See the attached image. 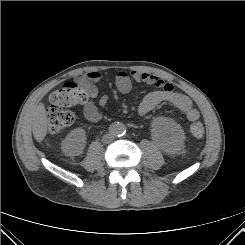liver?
Segmentation results:
<instances>
[{"instance_id":"obj_1","label":"liver","mask_w":245,"mask_h":245,"mask_svg":"<svg viewBox=\"0 0 245 245\" xmlns=\"http://www.w3.org/2000/svg\"><path fill=\"white\" fill-rule=\"evenodd\" d=\"M47 114L43 103L36 106L33 118V136L37 142H42L47 134Z\"/></svg>"}]
</instances>
